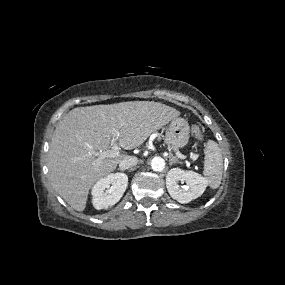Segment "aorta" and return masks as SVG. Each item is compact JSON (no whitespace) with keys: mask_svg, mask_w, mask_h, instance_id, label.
Returning a JSON list of instances; mask_svg holds the SVG:
<instances>
[{"mask_svg":"<svg viewBox=\"0 0 285 285\" xmlns=\"http://www.w3.org/2000/svg\"><path fill=\"white\" fill-rule=\"evenodd\" d=\"M151 168L153 171L161 172L165 168V161L162 157L156 156L151 160Z\"/></svg>","mask_w":285,"mask_h":285,"instance_id":"obj_1","label":"aorta"}]
</instances>
